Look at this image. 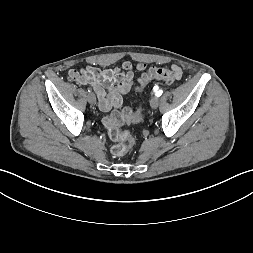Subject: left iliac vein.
I'll return each instance as SVG.
<instances>
[{
  "instance_id": "left-iliac-vein-1",
  "label": "left iliac vein",
  "mask_w": 253,
  "mask_h": 253,
  "mask_svg": "<svg viewBox=\"0 0 253 253\" xmlns=\"http://www.w3.org/2000/svg\"><path fill=\"white\" fill-rule=\"evenodd\" d=\"M159 105V98L157 96H154L151 98L150 100V106L153 108V109H156Z\"/></svg>"
}]
</instances>
